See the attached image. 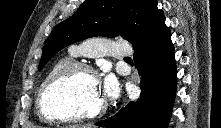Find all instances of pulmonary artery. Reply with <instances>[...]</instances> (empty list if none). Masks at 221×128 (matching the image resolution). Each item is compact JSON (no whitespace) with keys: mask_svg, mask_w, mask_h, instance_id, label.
<instances>
[{"mask_svg":"<svg viewBox=\"0 0 221 128\" xmlns=\"http://www.w3.org/2000/svg\"><path fill=\"white\" fill-rule=\"evenodd\" d=\"M74 55H99L109 52L115 58L129 60L132 52L126 47V44L119 40L103 41L96 38L85 39L80 45L71 48Z\"/></svg>","mask_w":221,"mask_h":128,"instance_id":"obj_1","label":"pulmonary artery"}]
</instances>
